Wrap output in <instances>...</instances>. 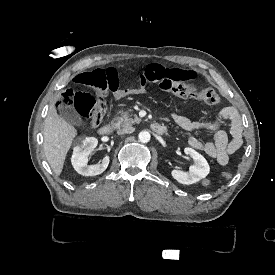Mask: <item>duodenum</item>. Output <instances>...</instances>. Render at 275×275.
<instances>
[{"instance_id": "1", "label": "duodenum", "mask_w": 275, "mask_h": 275, "mask_svg": "<svg viewBox=\"0 0 275 275\" xmlns=\"http://www.w3.org/2000/svg\"><path fill=\"white\" fill-rule=\"evenodd\" d=\"M151 130L156 133V134H164L166 133L167 129L166 127L159 122H154L151 124ZM113 131V125L111 123H105L104 125L100 126L98 128V134L101 136H107L109 134H111V132Z\"/></svg>"}]
</instances>
